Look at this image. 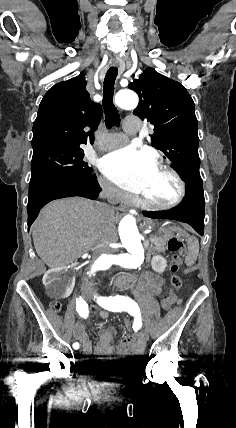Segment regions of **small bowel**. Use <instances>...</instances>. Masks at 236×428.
I'll use <instances>...</instances> for the list:
<instances>
[{
    "mask_svg": "<svg viewBox=\"0 0 236 428\" xmlns=\"http://www.w3.org/2000/svg\"><path fill=\"white\" fill-rule=\"evenodd\" d=\"M162 278L155 273H146L140 279L137 289L146 291L150 295H158L161 292ZM103 319L109 318V313L101 312ZM75 337L82 342L84 361H90L93 353L91 340L82 324H77L74 328ZM115 335L113 327L103 328L99 331V342L94 349L97 356L115 355L118 357L137 359L143 354L145 339L142 334L130 336L121 341L117 346H112L111 342Z\"/></svg>",
    "mask_w": 236,
    "mask_h": 428,
    "instance_id": "c3829d8e",
    "label": "small bowel"
}]
</instances>
